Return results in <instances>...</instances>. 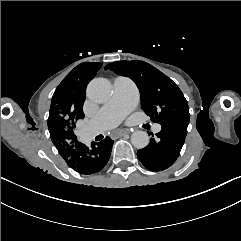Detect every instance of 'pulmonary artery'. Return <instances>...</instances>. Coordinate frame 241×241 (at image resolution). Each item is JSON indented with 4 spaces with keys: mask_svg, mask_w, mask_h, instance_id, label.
Instances as JSON below:
<instances>
[{
    "mask_svg": "<svg viewBox=\"0 0 241 241\" xmlns=\"http://www.w3.org/2000/svg\"><path fill=\"white\" fill-rule=\"evenodd\" d=\"M138 95L135 92V86L128 78L120 81L117 78L114 81V94L110 100L100 108V114L95 115L89 121V126L94 131L106 132L117 125L120 117L128 115L135 107ZM159 132L161 126L155 124L152 128Z\"/></svg>",
    "mask_w": 241,
    "mask_h": 241,
    "instance_id": "1",
    "label": "pulmonary artery"
}]
</instances>
